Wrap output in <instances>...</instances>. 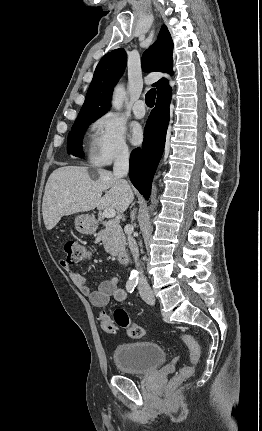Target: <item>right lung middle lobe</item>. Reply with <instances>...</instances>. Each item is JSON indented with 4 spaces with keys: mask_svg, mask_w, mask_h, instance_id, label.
<instances>
[{
    "mask_svg": "<svg viewBox=\"0 0 262 431\" xmlns=\"http://www.w3.org/2000/svg\"><path fill=\"white\" fill-rule=\"evenodd\" d=\"M96 118H78L76 119L71 131L68 134L67 152L77 157H83L82 152V136L88 126L93 123Z\"/></svg>",
    "mask_w": 262,
    "mask_h": 431,
    "instance_id": "right-lung-middle-lobe-1",
    "label": "right lung middle lobe"
}]
</instances>
